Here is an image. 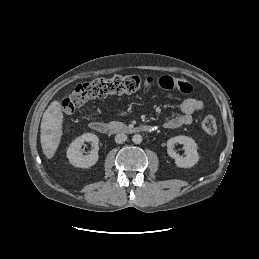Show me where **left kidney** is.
<instances>
[{
	"label": "left kidney",
	"instance_id": "1",
	"mask_svg": "<svg viewBox=\"0 0 259 259\" xmlns=\"http://www.w3.org/2000/svg\"><path fill=\"white\" fill-rule=\"evenodd\" d=\"M184 145L186 156L182 157L174 151V144ZM168 155L175 159V164L180 168H190L199 161L196 142L188 136H176L167 141Z\"/></svg>",
	"mask_w": 259,
	"mask_h": 259
}]
</instances>
